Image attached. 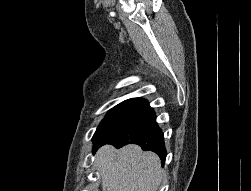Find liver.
<instances>
[{"instance_id":"1","label":"liver","mask_w":251,"mask_h":191,"mask_svg":"<svg viewBox=\"0 0 251 191\" xmlns=\"http://www.w3.org/2000/svg\"><path fill=\"white\" fill-rule=\"evenodd\" d=\"M95 163L103 191H156L162 179L158 155L142 151L135 143L121 149L103 145L96 153Z\"/></svg>"}]
</instances>
